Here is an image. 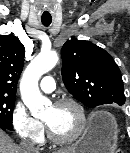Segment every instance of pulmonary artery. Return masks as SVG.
Masks as SVG:
<instances>
[{
  "label": "pulmonary artery",
  "instance_id": "1",
  "mask_svg": "<svg viewBox=\"0 0 130 153\" xmlns=\"http://www.w3.org/2000/svg\"><path fill=\"white\" fill-rule=\"evenodd\" d=\"M55 81L51 76H45L40 82V88L45 93H51L55 90Z\"/></svg>",
  "mask_w": 130,
  "mask_h": 153
}]
</instances>
